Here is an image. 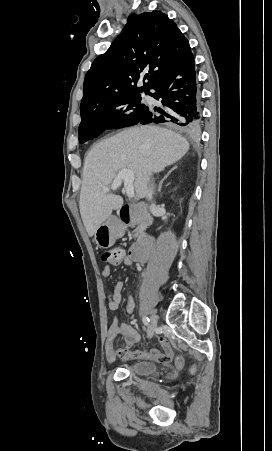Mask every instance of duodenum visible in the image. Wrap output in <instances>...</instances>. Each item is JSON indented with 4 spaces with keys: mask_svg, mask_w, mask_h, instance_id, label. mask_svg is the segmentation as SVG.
<instances>
[{
    "mask_svg": "<svg viewBox=\"0 0 272 451\" xmlns=\"http://www.w3.org/2000/svg\"><path fill=\"white\" fill-rule=\"evenodd\" d=\"M120 221L126 225H132L139 222L150 223L147 210L143 204H126L120 208ZM154 246V237L145 235L139 242L134 244L128 252L129 258L136 262H143L148 259Z\"/></svg>",
    "mask_w": 272,
    "mask_h": 451,
    "instance_id": "410a0bca",
    "label": "duodenum"
}]
</instances>
